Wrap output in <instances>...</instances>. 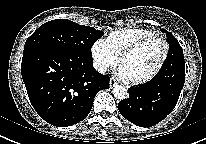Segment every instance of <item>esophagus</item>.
Here are the masks:
<instances>
[{
    "mask_svg": "<svg viewBox=\"0 0 206 144\" xmlns=\"http://www.w3.org/2000/svg\"><path fill=\"white\" fill-rule=\"evenodd\" d=\"M109 84H110V87L112 88V87L117 85V82H116V80L111 79Z\"/></svg>",
    "mask_w": 206,
    "mask_h": 144,
    "instance_id": "1",
    "label": "esophagus"
}]
</instances>
